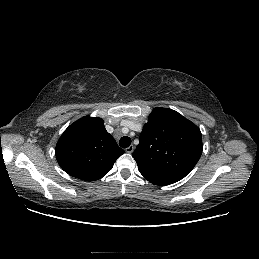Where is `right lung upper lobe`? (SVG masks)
Listing matches in <instances>:
<instances>
[{"mask_svg":"<svg viewBox=\"0 0 259 259\" xmlns=\"http://www.w3.org/2000/svg\"><path fill=\"white\" fill-rule=\"evenodd\" d=\"M124 153L101 118L83 117L70 125L58 140L56 159L69 175L85 181L102 178Z\"/></svg>","mask_w":259,"mask_h":259,"instance_id":"obj_1","label":"right lung upper lobe"}]
</instances>
